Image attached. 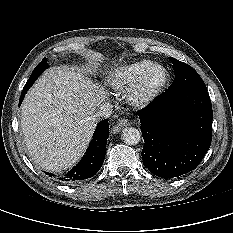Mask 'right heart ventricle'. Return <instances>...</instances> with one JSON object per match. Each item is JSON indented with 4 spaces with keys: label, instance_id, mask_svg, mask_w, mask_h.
<instances>
[{
    "label": "right heart ventricle",
    "instance_id": "obj_1",
    "mask_svg": "<svg viewBox=\"0 0 233 233\" xmlns=\"http://www.w3.org/2000/svg\"><path fill=\"white\" fill-rule=\"evenodd\" d=\"M150 60H141L121 65L110 72L107 81L112 89L120 92L129 90L151 67Z\"/></svg>",
    "mask_w": 233,
    "mask_h": 233
}]
</instances>
